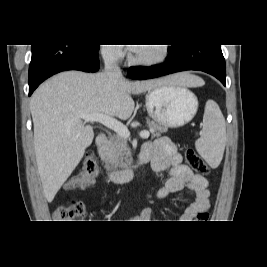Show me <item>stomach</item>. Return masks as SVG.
<instances>
[{"label": "stomach", "mask_w": 267, "mask_h": 267, "mask_svg": "<svg viewBox=\"0 0 267 267\" xmlns=\"http://www.w3.org/2000/svg\"><path fill=\"white\" fill-rule=\"evenodd\" d=\"M146 108L149 116L158 124L176 128L193 119L198 100L187 87L163 85L148 90Z\"/></svg>", "instance_id": "obj_1"}]
</instances>
